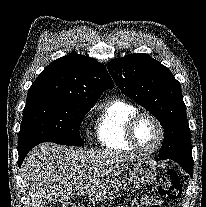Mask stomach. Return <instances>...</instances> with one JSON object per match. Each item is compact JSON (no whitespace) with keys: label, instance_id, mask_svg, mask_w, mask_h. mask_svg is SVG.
Listing matches in <instances>:
<instances>
[{"label":"stomach","instance_id":"stomach-1","mask_svg":"<svg viewBox=\"0 0 206 207\" xmlns=\"http://www.w3.org/2000/svg\"><path fill=\"white\" fill-rule=\"evenodd\" d=\"M157 177V170L154 163L146 159H138L132 165L129 171V181L137 187H147L153 184ZM124 181L114 179L110 182L105 190V196L109 198L113 194L119 192L123 186Z\"/></svg>","mask_w":206,"mask_h":207}]
</instances>
